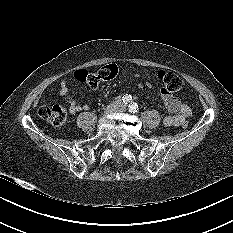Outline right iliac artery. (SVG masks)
Here are the masks:
<instances>
[{"label": "right iliac artery", "instance_id": "obj_1", "mask_svg": "<svg viewBox=\"0 0 233 233\" xmlns=\"http://www.w3.org/2000/svg\"><path fill=\"white\" fill-rule=\"evenodd\" d=\"M131 99H132L131 95H128V94L122 97V101L124 104H128L131 101Z\"/></svg>", "mask_w": 233, "mask_h": 233}]
</instances>
